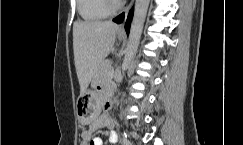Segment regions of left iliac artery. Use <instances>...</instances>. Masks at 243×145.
I'll return each instance as SVG.
<instances>
[{"label": "left iliac artery", "instance_id": "obj_1", "mask_svg": "<svg viewBox=\"0 0 243 145\" xmlns=\"http://www.w3.org/2000/svg\"><path fill=\"white\" fill-rule=\"evenodd\" d=\"M128 143H129V141L127 140V138L126 137H123V144L124 145H128Z\"/></svg>", "mask_w": 243, "mask_h": 145}]
</instances>
